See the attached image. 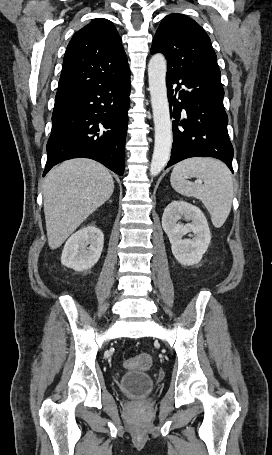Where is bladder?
Wrapping results in <instances>:
<instances>
[{"label":"bladder","instance_id":"bladder-1","mask_svg":"<svg viewBox=\"0 0 272 455\" xmlns=\"http://www.w3.org/2000/svg\"><path fill=\"white\" fill-rule=\"evenodd\" d=\"M118 387L120 392L127 397H141L153 391L154 381L147 373L129 371L122 375Z\"/></svg>","mask_w":272,"mask_h":455}]
</instances>
